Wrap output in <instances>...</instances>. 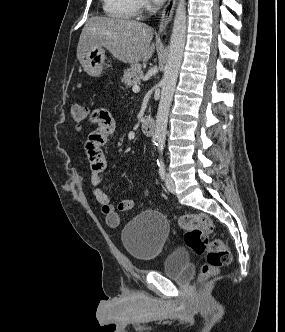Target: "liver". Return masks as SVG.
Masks as SVG:
<instances>
[{"instance_id": "1", "label": "liver", "mask_w": 285, "mask_h": 332, "mask_svg": "<svg viewBox=\"0 0 285 332\" xmlns=\"http://www.w3.org/2000/svg\"><path fill=\"white\" fill-rule=\"evenodd\" d=\"M153 29L145 23L94 16L85 24L77 46V58L82 60L87 48H106L121 62L136 64L148 61L154 51Z\"/></svg>"}]
</instances>
